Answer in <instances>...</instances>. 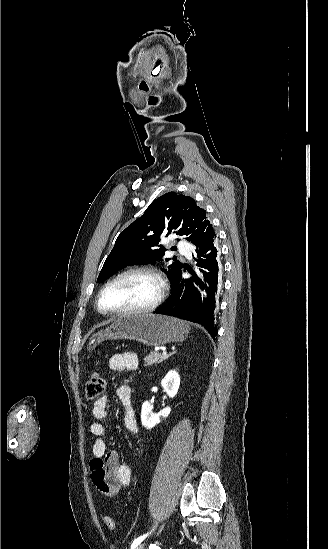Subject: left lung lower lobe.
Wrapping results in <instances>:
<instances>
[{
  "instance_id": "left-lung-lower-lobe-1",
  "label": "left lung lower lobe",
  "mask_w": 328,
  "mask_h": 549,
  "mask_svg": "<svg viewBox=\"0 0 328 549\" xmlns=\"http://www.w3.org/2000/svg\"><path fill=\"white\" fill-rule=\"evenodd\" d=\"M215 238L216 236L195 250L196 269L187 268L191 279L181 280V274L177 276L171 283L169 299L154 311L156 314L199 323L207 329L214 340L217 335L214 315L222 288L220 251Z\"/></svg>"
}]
</instances>
